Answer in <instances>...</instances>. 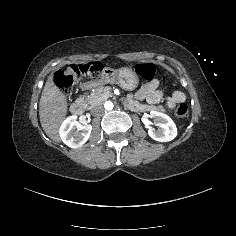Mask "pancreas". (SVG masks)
<instances>
[{"instance_id":"1","label":"pancreas","mask_w":236,"mask_h":236,"mask_svg":"<svg viewBox=\"0 0 236 236\" xmlns=\"http://www.w3.org/2000/svg\"><path fill=\"white\" fill-rule=\"evenodd\" d=\"M109 97H112L111 88L107 86H100L96 87L90 94L81 97L80 101L82 103H86L89 107H92L95 104L103 103ZM120 102L124 108L129 109L130 111L143 112L150 111L155 108L152 105L139 103L131 94H128L127 97L122 98ZM156 109L164 113L166 112L165 106L163 105L157 106Z\"/></svg>"}]
</instances>
